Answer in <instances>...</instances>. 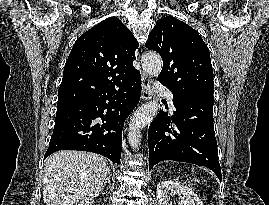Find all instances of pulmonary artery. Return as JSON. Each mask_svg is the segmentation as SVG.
<instances>
[{
  "instance_id": "1",
  "label": "pulmonary artery",
  "mask_w": 269,
  "mask_h": 205,
  "mask_svg": "<svg viewBox=\"0 0 269 205\" xmlns=\"http://www.w3.org/2000/svg\"><path fill=\"white\" fill-rule=\"evenodd\" d=\"M154 87L157 89H162V91L165 94L166 98L168 99L169 103L172 105L173 95H172L171 91L163 88L159 82H154Z\"/></svg>"
}]
</instances>
